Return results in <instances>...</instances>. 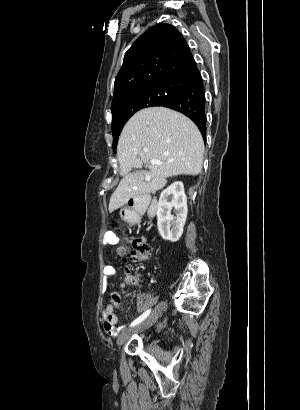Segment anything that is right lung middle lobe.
I'll use <instances>...</instances> for the list:
<instances>
[{
    "instance_id": "right-lung-middle-lobe-1",
    "label": "right lung middle lobe",
    "mask_w": 300,
    "mask_h": 410,
    "mask_svg": "<svg viewBox=\"0 0 300 410\" xmlns=\"http://www.w3.org/2000/svg\"><path fill=\"white\" fill-rule=\"evenodd\" d=\"M186 83L167 82L132 89L123 94L117 102L116 112L112 114L113 150H116L118 137L128 119L138 110L151 106H161L174 98Z\"/></svg>"
}]
</instances>
